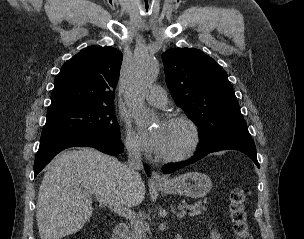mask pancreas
Instances as JSON below:
<instances>
[{"label":"pancreas","instance_id":"pancreas-1","mask_svg":"<svg viewBox=\"0 0 304 239\" xmlns=\"http://www.w3.org/2000/svg\"><path fill=\"white\" fill-rule=\"evenodd\" d=\"M182 208H186L190 211L191 216L200 215L207 210L205 204L198 202L194 205L182 204ZM132 231L130 233L131 239H148L147 233H150L149 226L141 219L131 222Z\"/></svg>","mask_w":304,"mask_h":239}]
</instances>
